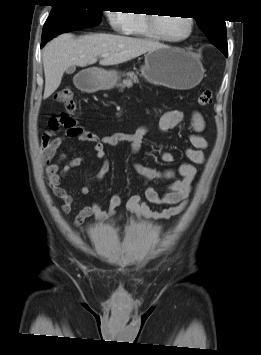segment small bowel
<instances>
[{
    "mask_svg": "<svg viewBox=\"0 0 261 355\" xmlns=\"http://www.w3.org/2000/svg\"><path fill=\"white\" fill-rule=\"evenodd\" d=\"M51 118L49 121H51ZM60 122L58 129H51L41 137L40 154L46 166V181L53 195L62 200L60 207L62 214L70 213L74 202L73 196L62 187V182L67 174L74 168L84 163L83 158L75 157L64 162L67 158L66 152L59 153V148L69 140H79L93 144L95 157L100 160V171L94 178V182L101 181L110 170V159L107 156L105 147L129 146L132 156V166L135 172L141 176L145 182L153 180H168L171 184L165 189L147 187L144 190V198L140 195H131L126 208L133 213L137 219L166 220L182 213L187 205L192 191V182L197 174L195 164H201L205 160L203 149L207 146V141L200 135L205 128L203 116L195 111L192 113L190 121V132L188 133V145L184 148L183 154L188 162L182 163L175 168L156 169L145 166L135 161L134 157L144 146V136L149 132L148 127L141 126L134 133H113L99 137L93 131L77 125L72 119L57 118ZM184 114L178 110H171L164 113L160 119L159 128L163 132H169L184 123ZM49 124V122H48ZM49 126V125H48ZM66 127L65 132L56 135L55 133L62 127ZM161 159L164 162H174L175 157L169 152H162ZM56 159L55 163H51ZM91 185L81 188L82 196H87L91 191ZM122 199L119 195H113L109 199L107 210H103L98 203H91L83 207L74 218V226L84 230V224L90 217H95L99 221H107L115 217L117 208L121 205ZM166 205L167 208L154 210L149 204Z\"/></svg>",
    "mask_w": 261,
    "mask_h": 355,
    "instance_id": "obj_1",
    "label": "small bowel"
}]
</instances>
